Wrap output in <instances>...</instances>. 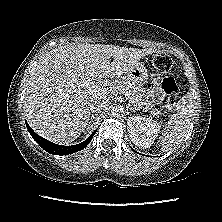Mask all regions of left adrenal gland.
Listing matches in <instances>:
<instances>
[{
    "label": "left adrenal gland",
    "mask_w": 222,
    "mask_h": 222,
    "mask_svg": "<svg viewBox=\"0 0 222 222\" xmlns=\"http://www.w3.org/2000/svg\"><path fill=\"white\" fill-rule=\"evenodd\" d=\"M126 107H127V109H130V110H133V111L137 110V108L132 107L130 104H127Z\"/></svg>",
    "instance_id": "1"
}]
</instances>
